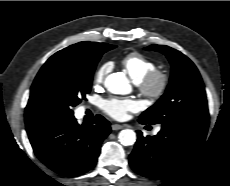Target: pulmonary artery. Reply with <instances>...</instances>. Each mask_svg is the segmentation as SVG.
Instances as JSON below:
<instances>
[{"label":"pulmonary artery","mask_w":230,"mask_h":186,"mask_svg":"<svg viewBox=\"0 0 230 186\" xmlns=\"http://www.w3.org/2000/svg\"><path fill=\"white\" fill-rule=\"evenodd\" d=\"M159 131H160V128H157V129L155 130L156 133L159 132Z\"/></svg>","instance_id":"pulmonary-artery-1"}]
</instances>
